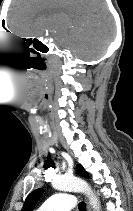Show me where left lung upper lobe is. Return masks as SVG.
<instances>
[{
  "label": "left lung upper lobe",
  "mask_w": 133,
  "mask_h": 211,
  "mask_svg": "<svg viewBox=\"0 0 133 211\" xmlns=\"http://www.w3.org/2000/svg\"><path fill=\"white\" fill-rule=\"evenodd\" d=\"M77 171L79 175L88 178L87 172L84 170V168L81 165L77 166ZM42 194H43V189H37L31 192L25 200L22 211H32L35 203L41 197Z\"/></svg>",
  "instance_id": "obj_1"
}]
</instances>
